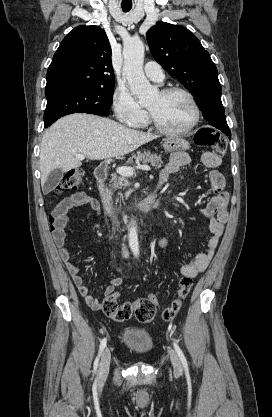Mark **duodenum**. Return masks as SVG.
<instances>
[{
    "instance_id": "obj_1",
    "label": "duodenum",
    "mask_w": 272,
    "mask_h": 417,
    "mask_svg": "<svg viewBox=\"0 0 272 417\" xmlns=\"http://www.w3.org/2000/svg\"><path fill=\"white\" fill-rule=\"evenodd\" d=\"M109 170H110V165L108 163L100 164L95 169L94 176H95L97 183L99 184L100 197H101V201H102L104 209L110 216L115 217L117 215V209L113 203L111 193L105 186V180L107 179ZM157 201H158V188L157 190L152 192L150 195H148L146 198L141 200L133 208V210L136 212L148 211L157 205Z\"/></svg>"
}]
</instances>
